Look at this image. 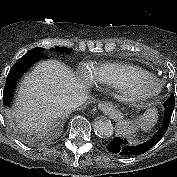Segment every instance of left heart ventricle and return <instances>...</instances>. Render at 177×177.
<instances>
[{"mask_svg":"<svg viewBox=\"0 0 177 177\" xmlns=\"http://www.w3.org/2000/svg\"><path fill=\"white\" fill-rule=\"evenodd\" d=\"M131 85L136 89H144V90H152L155 87L154 83L140 78L133 79L131 81Z\"/></svg>","mask_w":177,"mask_h":177,"instance_id":"left-heart-ventricle-1","label":"left heart ventricle"}]
</instances>
